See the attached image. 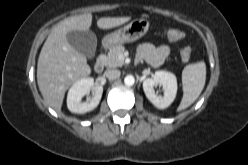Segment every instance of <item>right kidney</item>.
<instances>
[{"instance_id": "obj_1", "label": "right kidney", "mask_w": 248, "mask_h": 165, "mask_svg": "<svg viewBox=\"0 0 248 165\" xmlns=\"http://www.w3.org/2000/svg\"><path fill=\"white\" fill-rule=\"evenodd\" d=\"M90 90L93 92V97L86 102H81V99ZM103 87L94 85V79L91 77L82 78L76 81L69 89L67 95V107L72 113L84 114L95 109L102 97Z\"/></svg>"}]
</instances>
